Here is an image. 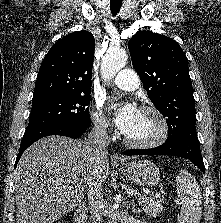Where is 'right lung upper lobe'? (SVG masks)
<instances>
[{"instance_id": "right-lung-upper-lobe-1", "label": "right lung upper lobe", "mask_w": 221, "mask_h": 223, "mask_svg": "<svg viewBox=\"0 0 221 223\" xmlns=\"http://www.w3.org/2000/svg\"><path fill=\"white\" fill-rule=\"evenodd\" d=\"M95 40L78 31L58 40L44 57L35 83L33 101L91 91Z\"/></svg>"}]
</instances>
